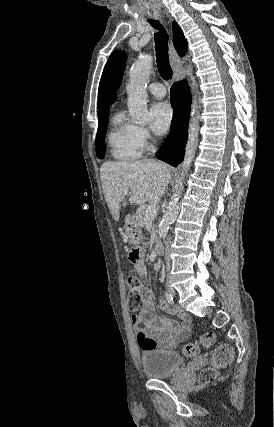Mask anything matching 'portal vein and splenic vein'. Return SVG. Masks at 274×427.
Returning <instances> with one entry per match:
<instances>
[{
  "label": "portal vein and splenic vein",
  "instance_id": "obj_1",
  "mask_svg": "<svg viewBox=\"0 0 274 427\" xmlns=\"http://www.w3.org/2000/svg\"><path fill=\"white\" fill-rule=\"evenodd\" d=\"M124 194L128 196V192H124ZM155 215H157L156 204H152V206H148L145 217L146 219H153Z\"/></svg>",
  "mask_w": 274,
  "mask_h": 427
}]
</instances>
